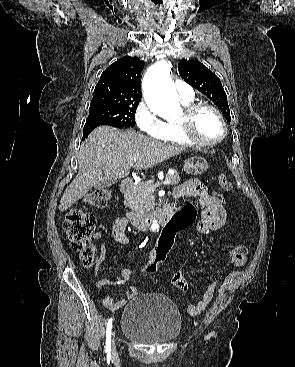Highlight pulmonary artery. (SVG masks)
Wrapping results in <instances>:
<instances>
[{
    "instance_id": "e3ab8cb5",
    "label": "pulmonary artery",
    "mask_w": 295,
    "mask_h": 367,
    "mask_svg": "<svg viewBox=\"0 0 295 367\" xmlns=\"http://www.w3.org/2000/svg\"><path fill=\"white\" fill-rule=\"evenodd\" d=\"M175 87L177 89L179 98L182 101H191L194 98V91L190 85L182 80L175 81Z\"/></svg>"
}]
</instances>
